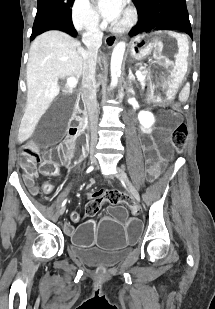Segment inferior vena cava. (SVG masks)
<instances>
[{
    "label": "inferior vena cava",
    "mask_w": 215,
    "mask_h": 309,
    "mask_svg": "<svg viewBox=\"0 0 215 309\" xmlns=\"http://www.w3.org/2000/svg\"><path fill=\"white\" fill-rule=\"evenodd\" d=\"M99 18L88 22L85 26V32L82 34V42L87 46L83 56L82 70V100L87 106L89 116L91 144H96L98 140V102L96 98V60L99 46L102 44L103 32L98 28Z\"/></svg>",
    "instance_id": "inferior-vena-cava-1"
}]
</instances>
